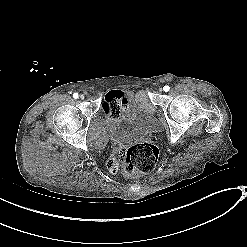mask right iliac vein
<instances>
[{"mask_svg":"<svg viewBox=\"0 0 247 247\" xmlns=\"http://www.w3.org/2000/svg\"><path fill=\"white\" fill-rule=\"evenodd\" d=\"M81 99H82V100H84V99H85V97L82 95V96H81Z\"/></svg>","mask_w":247,"mask_h":247,"instance_id":"obj_1","label":"right iliac vein"}]
</instances>
